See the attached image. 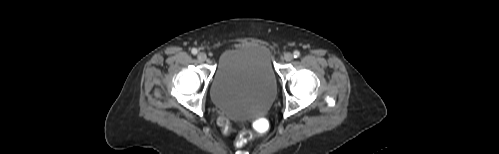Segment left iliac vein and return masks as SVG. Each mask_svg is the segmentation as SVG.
<instances>
[{
  "mask_svg": "<svg viewBox=\"0 0 499 154\" xmlns=\"http://www.w3.org/2000/svg\"><path fill=\"white\" fill-rule=\"evenodd\" d=\"M284 60L287 61V62H290L293 60V55L289 52L285 53L284 54Z\"/></svg>",
  "mask_w": 499,
  "mask_h": 154,
  "instance_id": "obj_1",
  "label": "left iliac vein"
}]
</instances>
